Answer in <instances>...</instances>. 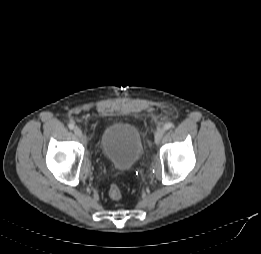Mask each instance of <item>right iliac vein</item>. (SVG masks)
<instances>
[{
  "label": "right iliac vein",
  "instance_id": "obj_1",
  "mask_svg": "<svg viewBox=\"0 0 261 254\" xmlns=\"http://www.w3.org/2000/svg\"><path fill=\"white\" fill-rule=\"evenodd\" d=\"M74 133L77 137L82 138L83 134H82V130L79 127H75L74 128Z\"/></svg>",
  "mask_w": 261,
  "mask_h": 254
}]
</instances>
